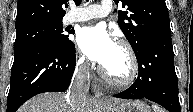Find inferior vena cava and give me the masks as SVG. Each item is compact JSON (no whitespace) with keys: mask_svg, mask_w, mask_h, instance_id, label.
<instances>
[{"mask_svg":"<svg viewBox=\"0 0 193 112\" xmlns=\"http://www.w3.org/2000/svg\"><path fill=\"white\" fill-rule=\"evenodd\" d=\"M89 63L79 62L67 94V99L69 103L73 106H79L83 103L84 99L89 94Z\"/></svg>","mask_w":193,"mask_h":112,"instance_id":"602c4592","label":"inferior vena cava"}]
</instances>
